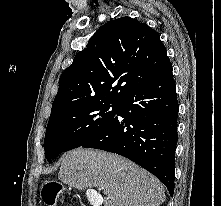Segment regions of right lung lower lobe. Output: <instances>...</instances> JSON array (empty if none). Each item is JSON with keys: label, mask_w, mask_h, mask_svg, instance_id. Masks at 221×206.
I'll return each instance as SVG.
<instances>
[{"label": "right lung lower lobe", "mask_w": 221, "mask_h": 206, "mask_svg": "<svg viewBox=\"0 0 221 206\" xmlns=\"http://www.w3.org/2000/svg\"><path fill=\"white\" fill-rule=\"evenodd\" d=\"M117 115L82 145L120 154L174 192L178 101L170 63L118 104Z\"/></svg>", "instance_id": "right-lung-lower-lobe-1"}]
</instances>
